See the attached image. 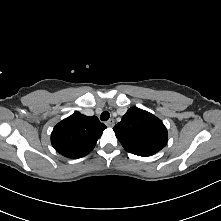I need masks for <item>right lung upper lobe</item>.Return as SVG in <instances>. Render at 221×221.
Returning <instances> with one entry per match:
<instances>
[{"instance_id": "1", "label": "right lung upper lobe", "mask_w": 221, "mask_h": 221, "mask_svg": "<svg viewBox=\"0 0 221 221\" xmlns=\"http://www.w3.org/2000/svg\"><path fill=\"white\" fill-rule=\"evenodd\" d=\"M106 126L96 116L74 112L59 122L51 134L54 149L68 158H81L91 152Z\"/></svg>"}]
</instances>
